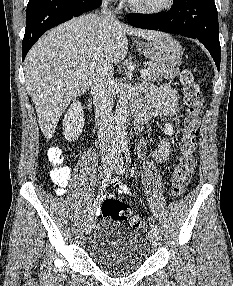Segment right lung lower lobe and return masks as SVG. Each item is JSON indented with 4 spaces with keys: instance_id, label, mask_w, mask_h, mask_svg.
Returning <instances> with one entry per match:
<instances>
[{
    "instance_id": "right-lung-lower-lobe-1",
    "label": "right lung lower lobe",
    "mask_w": 233,
    "mask_h": 286,
    "mask_svg": "<svg viewBox=\"0 0 233 286\" xmlns=\"http://www.w3.org/2000/svg\"><path fill=\"white\" fill-rule=\"evenodd\" d=\"M102 0H29L22 60L48 29L100 7Z\"/></svg>"
}]
</instances>
